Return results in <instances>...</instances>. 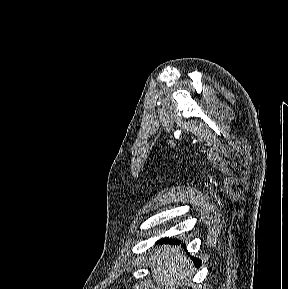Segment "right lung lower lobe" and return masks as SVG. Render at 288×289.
Listing matches in <instances>:
<instances>
[{
  "instance_id": "98d812e1",
  "label": "right lung lower lobe",
  "mask_w": 288,
  "mask_h": 289,
  "mask_svg": "<svg viewBox=\"0 0 288 289\" xmlns=\"http://www.w3.org/2000/svg\"><path fill=\"white\" fill-rule=\"evenodd\" d=\"M164 242H166V243H169V240L168 241H165V239H164ZM170 242H173V241H171L170 240ZM179 241H176V243H178ZM195 263H196V266L198 267V266H200V264H201V262H200V260L199 259H195Z\"/></svg>"
}]
</instances>
